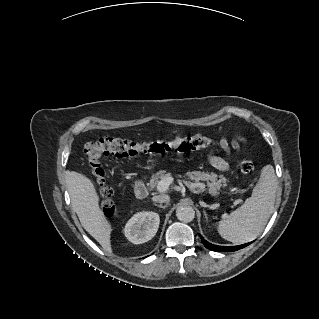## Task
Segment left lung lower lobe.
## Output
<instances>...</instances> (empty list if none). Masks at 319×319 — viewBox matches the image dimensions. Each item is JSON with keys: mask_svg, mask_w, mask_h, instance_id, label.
<instances>
[{"mask_svg": "<svg viewBox=\"0 0 319 319\" xmlns=\"http://www.w3.org/2000/svg\"><path fill=\"white\" fill-rule=\"evenodd\" d=\"M200 238L206 248L216 252H232V251H236L241 248H244L250 244V243H246V244L238 245V246H217L207 242L202 236H200Z\"/></svg>", "mask_w": 319, "mask_h": 319, "instance_id": "left-lung-lower-lobe-1", "label": "left lung lower lobe"}]
</instances>
